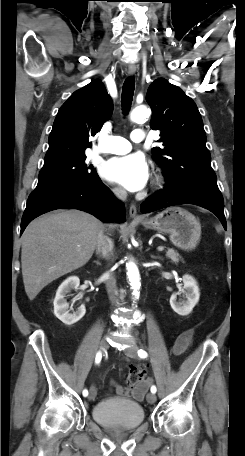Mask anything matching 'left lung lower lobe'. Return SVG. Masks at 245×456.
Wrapping results in <instances>:
<instances>
[{
    "instance_id": "0a47b994",
    "label": "left lung lower lobe",
    "mask_w": 245,
    "mask_h": 456,
    "mask_svg": "<svg viewBox=\"0 0 245 456\" xmlns=\"http://www.w3.org/2000/svg\"><path fill=\"white\" fill-rule=\"evenodd\" d=\"M194 204L214 213L226 228L224 201L219 189L207 186H182L167 183L165 188L156 192L141 204V212L149 213L161 208Z\"/></svg>"
}]
</instances>
